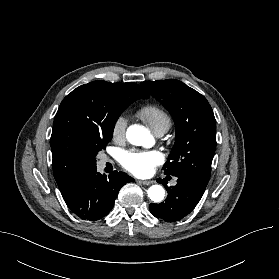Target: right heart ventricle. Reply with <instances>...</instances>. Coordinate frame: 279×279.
<instances>
[{
	"label": "right heart ventricle",
	"mask_w": 279,
	"mask_h": 279,
	"mask_svg": "<svg viewBox=\"0 0 279 279\" xmlns=\"http://www.w3.org/2000/svg\"><path fill=\"white\" fill-rule=\"evenodd\" d=\"M137 116L141 118L154 133L163 129L168 130L171 126V119L168 113L154 104L141 107L137 111Z\"/></svg>",
	"instance_id": "right-heart-ventricle-1"
}]
</instances>
